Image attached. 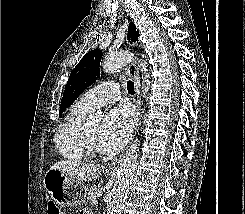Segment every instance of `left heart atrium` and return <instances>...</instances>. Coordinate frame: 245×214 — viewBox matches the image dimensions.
Returning a JSON list of instances; mask_svg holds the SVG:
<instances>
[{"label": "left heart atrium", "mask_w": 245, "mask_h": 214, "mask_svg": "<svg viewBox=\"0 0 245 214\" xmlns=\"http://www.w3.org/2000/svg\"><path fill=\"white\" fill-rule=\"evenodd\" d=\"M134 127V115L126 106H119L104 119L97 134V143L107 153L117 152L128 141Z\"/></svg>", "instance_id": "1"}]
</instances>
